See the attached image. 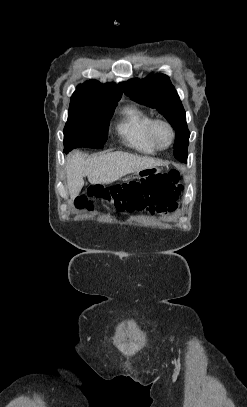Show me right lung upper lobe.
<instances>
[{
    "label": "right lung upper lobe",
    "mask_w": 247,
    "mask_h": 407,
    "mask_svg": "<svg viewBox=\"0 0 247 407\" xmlns=\"http://www.w3.org/2000/svg\"><path fill=\"white\" fill-rule=\"evenodd\" d=\"M122 95L121 85L101 84L96 80L86 81L73 93L70 105H89L119 101Z\"/></svg>",
    "instance_id": "right-lung-upper-lobe-1"
}]
</instances>
